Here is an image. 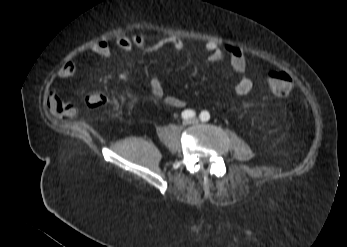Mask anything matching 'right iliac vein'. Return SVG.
<instances>
[{"instance_id":"obj_1","label":"right iliac vein","mask_w":347,"mask_h":247,"mask_svg":"<svg viewBox=\"0 0 347 247\" xmlns=\"http://www.w3.org/2000/svg\"><path fill=\"white\" fill-rule=\"evenodd\" d=\"M191 124H192L191 120H184L183 121V126H188V125H191Z\"/></svg>"}]
</instances>
